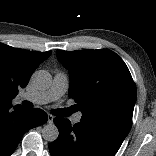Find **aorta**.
Returning <instances> with one entry per match:
<instances>
[{
    "mask_svg": "<svg viewBox=\"0 0 156 156\" xmlns=\"http://www.w3.org/2000/svg\"><path fill=\"white\" fill-rule=\"evenodd\" d=\"M32 82L38 90H46L51 86L52 78L45 70L35 71L32 75ZM59 136L58 128L53 123L45 125L42 129V137L48 142H54Z\"/></svg>",
    "mask_w": 156,
    "mask_h": 156,
    "instance_id": "1",
    "label": "aorta"
}]
</instances>
